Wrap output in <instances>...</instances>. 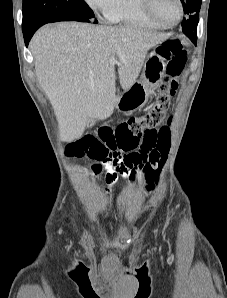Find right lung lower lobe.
<instances>
[{
  "mask_svg": "<svg viewBox=\"0 0 227 298\" xmlns=\"http://www.w3.org/2000/svg\"><path fill=\"white\" fill-rule=\"evenodd\" d=\"M41 26H42V25L37 26V27H35V28H33V29L27 31V32H23V36H24V40H25V45H26V46H28L29 41H30L31 37L33 36V34L35 33V31H36L39 27H41Z\"/></svg>",
  "mask_w": 227,
  "mask_h": 298,
  "instance_id": "right-lung-lower-lobe-1",
  "label": "right lung lower lobe"
}]
</instances>
